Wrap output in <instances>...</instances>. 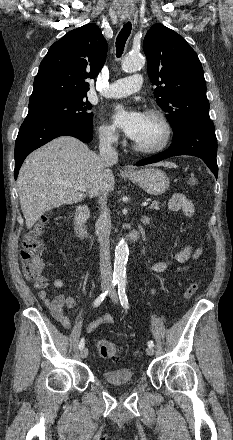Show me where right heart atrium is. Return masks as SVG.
Segmentation results:
<instances>
[{
    "label": "right heart atrium",
    "instance_id": "d8ad5b80",
    "mask_svg": "<svg viewBox=\"0 0 233 440\" xmlns=\"http://www.w3.org/2000/svg\"><path fill=\"white\" fill-rule=\"evenodd\" d=\"M98 136L102 144L106 146H116L119 142V135L116 129L106 123H102L98 128Z\"/></svg>",
    "mask_w": 233,
    "mask_h": 440
}]
</instances>
